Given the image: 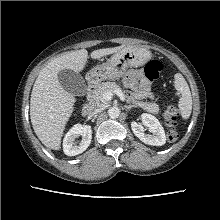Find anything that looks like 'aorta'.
<instances>
[{
  "instance_id": "762f6f07",
  "label": "aorta",
  "mask_w": 220,
  "mask_h": 220,
  "mask_svg": "<svg viewBox=\"0 0 220 220\" xmlns=\"http://www.w3.org/2000/svg\"><path fill=\"white\" fill-rule=\"evenodd\" d=\"M120 109L117 106L110 107L108 110V115L112 119H116L120 116Z\"/></svg>"
}]
</instances>
